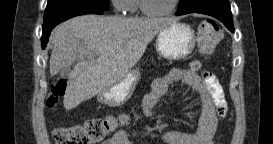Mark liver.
Masks as SVG:
<instances>
[{
	"label": "liver",
	"mask_w": 273,
	"mask_h": 144,
	"mask_svg": "<svg viewBox=\"0 0 273 144\" xmlns=\"http://www.w3.org/2000/svg\"><path fill=\"white\" fill-rule=\"evenodd\" d=\"M174 22V18L83 15L57 26L50 37L51 76L77 61L67 82L64 108L71 110L123 79L152 39Z\"/></svg>",
	"instance_id": "liver-1"
}]
</instances>
